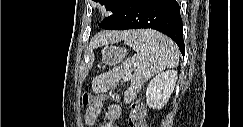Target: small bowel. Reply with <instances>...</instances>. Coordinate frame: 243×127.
Here are the masks:
<instances>
[{
  "label": "small bowel",
  "mask_w": 243,
  "mask_h": 127,
  "mask_svg": "<svg viewBox=\"0 0 243 127\" xmlns=\"http://www.w3.org/2000/svg\"><path fill=\"white\" fill-rule=\"evenodd\" d=\"M104 108L103 100L96 99L90 103L84 116L85 125L93 126ZM121 106L117 103L108 105L105 113L104 127H116L117 121L121 116Z\"/></svg>",
  "instance_id": "small-bowel-1"
}]
</instances>
